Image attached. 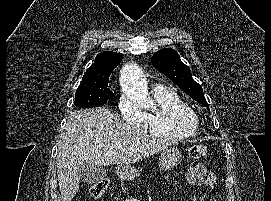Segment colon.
I'll return each mask as SVG.
<instances>
[{"label": "colon", "instance_id": "obj_1", "mask_svg": "<svg viewBox=\"0 0 271 201\" xmlns=\"http://www.w3.org/2000/svg\"><path fill=\"white\" fill-rule=\"evenodd\" d=\"M207 154V149L204 145H194L189 150V155L192 159L198 160L205 157ZM108 180L107 179H100L94 182L90 187V194L91 197L94 199L100 198L108 188Z\"/></svg>", "mask_w": 271, "mask_h": 201}]
</instances>
